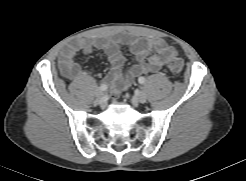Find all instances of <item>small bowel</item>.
I'll list each match as a JSON object with an SVG mask.
<instances>
[{
    "label": "small bowel",
    "mask_w": 246,
    "mask_h": 181,
    "mask_svg": "<svg viewBox=\"0 0 246 181\" xmlns=\"http://www.w3.org/2000/svg\"><path fill=\"white\" fill-rule=\"evenodd\" d=\"M122 45H128L136 59V63L126 73L122 71L127 60L121 52ZM97 50L103 51L112 65L103 82L112 88L113 96H118L127 89L139 75L161 71L169 57L176 53L162 39H143L125 33L108 39L78 38L66 44L60 53L59 67L63 76L78 79L82 71L75 61L76 54L79 51L91 54Z\"/></svg>",
    "instance_id": "obj_1"
}]
</instances>
